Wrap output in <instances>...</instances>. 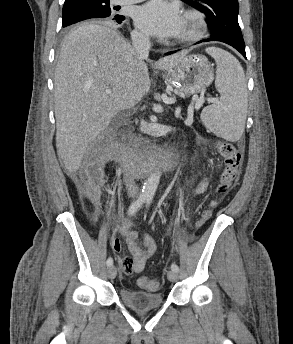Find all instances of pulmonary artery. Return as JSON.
Wrapping results in <instances>:
<instances>
[{
	"label": "pulmonary artery",
	"mask_w": 293,
	"mask_h": 344,
	"mask_svg": "<svg viewBox=\"0 0 293 344\" xmlns=\"http://www.w3.org/2000/svg\"><path fill=\"white\" fill-rule=\"evenodd\" d=\"M116 4H133L138 3L143 0H113Z\"/></svg>",
	"instance_id": "1"
}]
</instances>
